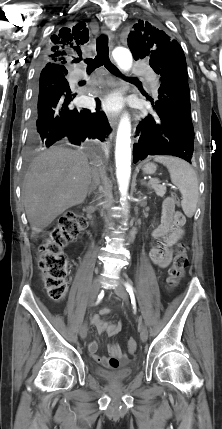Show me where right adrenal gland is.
Returning a JSON list of instances; mask_svg holds the SVG:
<instances>
[{"label":"right adrenal gland","instance_id":"obj_1","mask_svg":"<svg viewBox=\"0 0 222 429\" xmlns=\"http://www.w3.org/2000/svg\"><path fill=\"white\" fill-rule=\"evenodd\" d=\"M95 191V186L92 184L88 190V196H90Z\"/></svg>","mask_w":222,"mask_h":429}]
</instances>
